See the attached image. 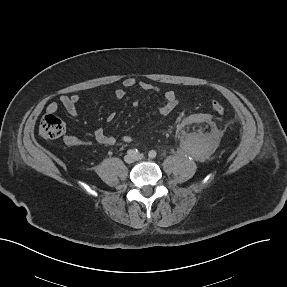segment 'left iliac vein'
Segmentation results:
<instances>
[{
    "instance_id": "1",
    "label": "left iliac vein",
    "mask_w": 287,
    "mask_h": 287,
    "mask_svg": "<svg viewBox=\"0 0 287 287\" xmlns=\"http://www.w3.org/2000/svg\"><path fill=\"white\" fill-rule=\"evenodd\" d=\"M143 158V155L141 154V155H138L137 157H136V160H141Z\"/></svg>"
}]
</instances>
